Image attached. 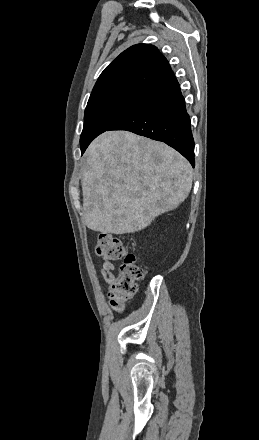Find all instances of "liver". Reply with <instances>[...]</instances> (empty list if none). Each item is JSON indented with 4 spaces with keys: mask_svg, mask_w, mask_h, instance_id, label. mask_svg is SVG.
<instances>
[{
    "mask_svg": "<svg viewBox=\"0 0 259 440\" xmlns=\"http://www.w3.org/2000/svg\"><path fill=\"white\" fill-rule=\"evenodd\" d=\"M192 179L190 163L168 145L128 131L105 132L85 153V223L116 235L141 231L185 201Z\"/></svg>",
    "mask_w": 259,
    "mask_h": 440,
    "instance_id": "obj_1",
    "label": "liver"
}]
</instances>
